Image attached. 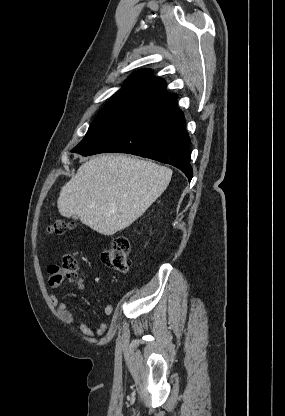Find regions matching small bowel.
Masks as SVG:
<instances>
[{"label":"small bowel","mask_w":285,"mask_h":416,"mask_svg":"<svg viewBox=\"0 0 285 416\" xmlns=\"http://www.w3.org/2000/svg\"><path fill=\"white\" fill-rule=\"evenodd\" d=\"M78 288L81 292L85 291V286L82 281L79 282ZM50 301L55 307L59 319L66 324L78 323L79 329L85 337L91 338L94 335L100 337L106 332L108 328L107 319L104 318L100 321L94 333L93 330L85 322L78 320L67 307V305L62 302L56 295L51 294ZM103 312L106 316L111 315L113 312V306L109 303H105L103 306Z\"/></svg>","instance_id":"c3829d8e"}]
</instances>
